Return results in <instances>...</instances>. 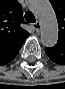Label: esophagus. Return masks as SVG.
<instances>
[{
	"mask_svg": "<svg viewBox=\"0 0 65 89\" xmlns=\"http://www.w3.org/2000/svg\"><path fill=\"white\" fill-rule=\"evenodd\" d=\"M33 28L35 29L36 32L40 31L41 25L39 22L33 23Z\"/></svg>",
	"mask_w": 65,
	"mask_h": 89,
	"instance_id": "obj_1",
	"label": "esophagus"
}]
</instances>
